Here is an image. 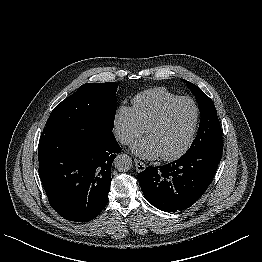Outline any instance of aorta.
<instances>
[{
    "label": "aorta",
    "instance_id": "obj_1",
    "mask_svg": "<svg viewBox=\"0 0 262 262\" xmlns=\"http://www.w3.org/2000/svg\"><path fill=\"white\" fill-rule=\"evenodd\" d=\"M115 168L120 172H126L132 167V159L127 154H120L115 158Z\"/></svg>",
    "mask_w": 262,
    "mask_h": 262
}]
</instances>
